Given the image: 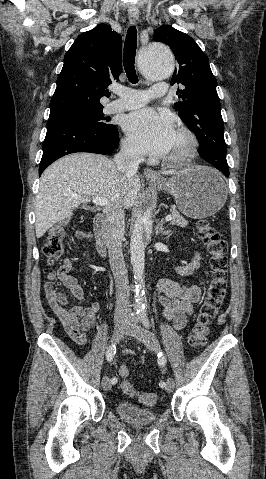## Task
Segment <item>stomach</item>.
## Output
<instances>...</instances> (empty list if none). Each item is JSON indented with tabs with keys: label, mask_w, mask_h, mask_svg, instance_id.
<instances>
[{
	"label": "stomach",
	"mask_w": 266,
	"mask_h": 479,
	"mask_svg": "<svg viewBox=\"0 0 266 479\" xmlns=\"http://www.w3.org/2000/svg\"><path fill=\"white\" fill-rule=\"evenodd\" d=\"M170 193L185 216L203 219L218 212L227 198V188L219 173L206 166L181 171L169 180H151Z\"/></svg>",
	"instance_id": "obj_1"
}]
</instances>
